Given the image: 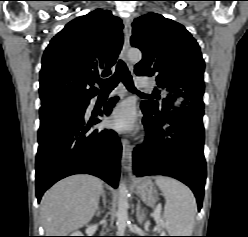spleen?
Here are the masks:
<instances>
[{"label":"spleen","instance_id":"spleen-1","mask_svg":"<svg viewBox=\"0 0 248 237\" xmlns=\"http://www.w3.org/2000/svg\"><path fill=\"white\" fill-rule=\"evenodd\" d=\"M155 183L166 199L164 217L170 236H191L197 209L191 190L168 177H157Z\"/></svg>","mask_w":248,"mask_h":237}]
</instances>
